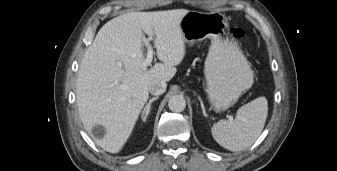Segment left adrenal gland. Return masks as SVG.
I'll list each match as a JSON object with an SVG mask.
<instances>
[{"label":"left adrenal gland","instance_id":"obj_1","mask_svg":"<svg viewBox=\"0 0 337 171\" xmlns=\"http://www.w3.org/2000/svg\"><path fill=\"white\" fill-rule=\"evenodd\" d=\"M201 108H202V111H203V115H204V116H207V114H206V112H205V108H204V105H203L202 101H201Z\"/></svg>","mask_w":337,"mask_h":171}]
</instances>
